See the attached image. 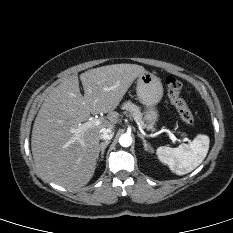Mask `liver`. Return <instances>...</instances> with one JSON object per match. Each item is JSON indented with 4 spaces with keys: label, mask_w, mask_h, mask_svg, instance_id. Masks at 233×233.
I'll use <instances>...</instances> for the list:
<instances>
[{
    "label": "liver",
    "mask_w": 233,
    "mask_h": 233,
    "mask_svg": "<svg viewBox=\"0 0 233 233\" xmlns=\"http://www.w3.org/2000/svg\"><path fill=\"white\" fill-rule=\"evenodd\" d=\"M145 69L136 64H114L71 75L53 88L45 98L34 121L31 150L41 177L77 190L93 177L99 156L100 130L115 127L114 110L134 80ZM108 113L107 120L80 133L73 130L87 121L90 114Z\"/></svg>",
    "instance_id": "1"
}]
</instances>
